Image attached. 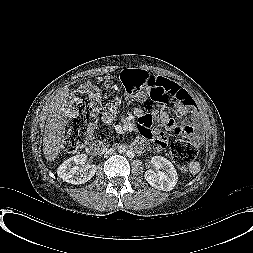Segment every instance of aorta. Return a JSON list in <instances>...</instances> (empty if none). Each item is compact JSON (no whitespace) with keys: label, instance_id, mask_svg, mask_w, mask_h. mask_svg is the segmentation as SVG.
<instances>
[{"label":"aorta","instance_id":"obj_1","mask_svg":"<svg viewBox=\"0 0 253 253\" xmlns=\"http://www.w3.org/2000/svg\"><path fill=\"white\" fill-rule=\"evenodd\" d=\"M116 151L120 154H125L126 153V145L125 144L117 145Z\"/></svg>","mask_w":253,"mask_h":253}]
</instances>
